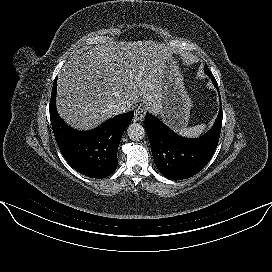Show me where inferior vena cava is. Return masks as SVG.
<instances>
[{"instance_id":"inferior-vena-cava-1","label":"inferior vena cava","mask_w":272,"mask_h":272,"mask_svg":"<svg viewBox=\"0 0 272 272\" xmlns=\"http://www.w3.org/2000/svg\"><path fill=\"white\" fill-rule=\"evenodd\" d=\"M131 108V105L129 103H120L118 105L114 106V112L115 114H120V113H125L127 111H129Z\"/></svg>"}]
</instances>
